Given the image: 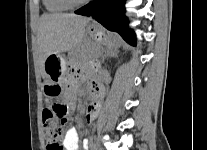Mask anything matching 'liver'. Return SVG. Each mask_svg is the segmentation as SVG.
I'll return each mask as SVG.
<instances>
[{
    "instance_id": "liver-1",
    "label": "liver",
    "mask_w": 207,
    "mask_h": 150,
    "mask_svg": "<svg viewBox=\"0 0 207 150\" xmlns=\"http://www.w3.org/2000/svg\"><path fill=\"white\" fill-rule=\"evenodd\" d=\"M90 19L74 14H43L38 26V49L41 73L48 56L78 48L85 39Z\"/></svg>"
}]
</instances>
